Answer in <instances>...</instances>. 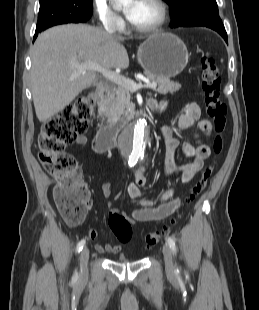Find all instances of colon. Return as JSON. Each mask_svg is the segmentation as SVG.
I'll use <instances>...</instances> for the list:
<instances>
[{
	"label": "colon",
	"mask_w": 259,
	"mask_h": 310,
	"mask_svg": "<svg viewBox=\"0 0 259 310\" xmlns=\"http://www.w3.org/2000/svg\"><path fill=\"white\" fill-rule=\"evenodd\" d=\"M200 64L205 109L216 132L213 147L216 153H221L224 147L227 109L220 99V69L208 53L201 55ZM95 103L93 92L79 96L56 116L45 121L39 135V160L57 182L53 191L54 201L61 217L69 225H77L83 221L91 204V193L81 180L80 168L75 158L65 152V147L83 135L94 121ZM212 173V166L206 167L200 173L198 180L185 196L186 202H192L202 192ZM108 223L119 242L127 243L131 240V223L123 214H110ZM169 229L170 226L166 225L161 230L148 233L145 236L146 248L155 246Z\"/></svg>",
	"instance_id": "obj_1"
}]
</instances>
